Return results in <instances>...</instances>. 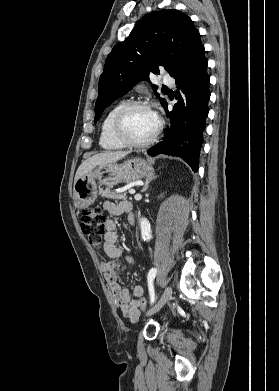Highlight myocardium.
<instances>
[{"instance_id": "obj_1", "label": "myocardium", "mask_w": 279, "mask_h": 391, "mask_svg": "<svg viewBox=\"0 0 279 391\" xmlns=\"http://www.w3.org/2000/svg\"><path fill=\"white\" fill-rule=\"evenodd\" d=\"M135 108H148L155 114L157 118V126L155 131L148 139L143 141H134L130 139L125 133V128H124L125 118L127 114L132 109ZM162 126H163V122L161 118L153 110L149 102L144 100H132L124 103L115 114V117L113 119V124H112V131L114 137L123 145L131 148H142V147L149 146L156 141V139L158 138L161 132Z\"/></svg>"}]
</instances>
